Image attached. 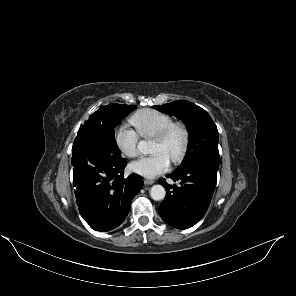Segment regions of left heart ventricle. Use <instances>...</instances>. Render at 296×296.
<instances>
[{
    "label": "left heart ventricle",
    "mask_w": 296,
    "mask_h": 296,
    "mask_svg": "<svg viewBox=\"0 0 296 296\" xmlns=\"http://www.w3.org/2000/svg\"><path fill=\"white\" fill-rule=\"evenodd\" d=\"M181 142L182 135L178 130H175L164 143L154 140L152 153L164 152L170 159H172L179 151Z\"/></svg>",
    "instance_id": "left-heart-ventricle-1"
}]
</instances>
